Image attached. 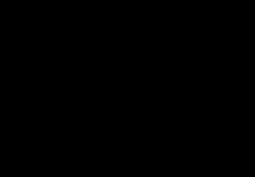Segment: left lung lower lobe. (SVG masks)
<instances>
[{"label":"left lung lower lobe","mask_w":255,"mask_h":177,"mask_svg":"<svg viewBox=\"0 0 255 177\" xmlns=\"http://www.w3.org/2000/svg\"><path fill=\"white\" fill-rule=\"evenodd\" d=\"M159 108L161 110V114L159 116L160 131L161 133H169L171 131L173 122L178 116V112L175 108L160 103Z\"/></svg>","instance_id":"0a47b994"}]
</instances>
